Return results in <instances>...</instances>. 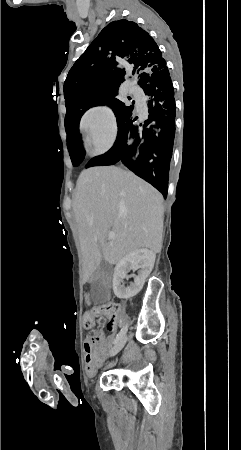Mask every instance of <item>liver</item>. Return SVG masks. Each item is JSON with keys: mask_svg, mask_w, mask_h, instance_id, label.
<instances>
[{"mask_svg": "<svg viewBox=\"0 0 241 450\" xmlns=\"http://www.w3.org/2000/svg\"><path fill=\"white\" fill-rule=\"evenodd\" d=\"M163 196L153 186L115 166L81 172L73 196L84 282L101 260L117 264L129 252H161ZM109 232L116 238L109 240Z\"/></svg>", "mask_w": 241, "mask_h": 450, "instance_id": "liver-1", "label": "liver"}]
</instances>
